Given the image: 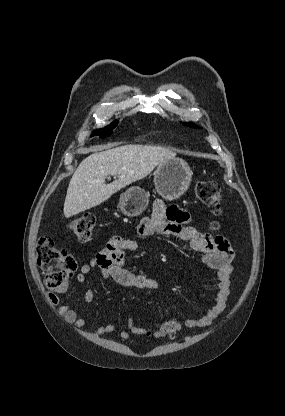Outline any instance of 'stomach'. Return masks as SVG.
Wrapping results in <instances>:
<instances>
[{
	"instance_id": "obj_1",
	"label": "stomach",
	"mask_w": 285,
	"mask_h": 416,
	"mask_svg": "<svg viewBox=\"0 0 285 416\" xmlns=\"http://www.w3.org/2000/svg\"><path fill=\"white\" fill-rule=\"evenodd\" d=\"M193 172L187 162L181 158H172L159 164L154 172L155 190L165 200H176L187 192ZM149 204V196L145 190L132 186L120 196L119 208L124 216L134 218L140 216Z\"/></svg>"
}]
</instances>
